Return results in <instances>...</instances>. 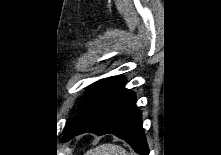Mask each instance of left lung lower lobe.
Here are the masks:
<instances>
[{"mask_svg": "<svg viewBox=\"0 0 221 155\" xmlns=\"http://www.w3.org/2000/svg\"><path fill=\"white\" fill-rule=\"evenodd\" d=\"M125 82L122 77L103 80L88 97L64 141L85 132L111 133L125 140L138 154L149 155L141 112L135 106V94L124 88Z\"/></svg>", "mask_w": 221, "mask_h": 155, "instance_id": "0a47b994", "label": "left lung lower lobe"}]
</instances>
